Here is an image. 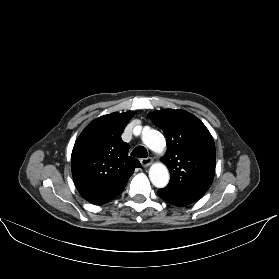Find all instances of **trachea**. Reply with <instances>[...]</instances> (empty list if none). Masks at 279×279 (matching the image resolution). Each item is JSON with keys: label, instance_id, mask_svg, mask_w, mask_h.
<instances>
[{"label": "trachea", "instance_id": "1", "mask_svg": "<svg viewBox=\"0 0 279 279\" xmlns=\"http://www.w3.org/2000/svg\"><path fill=\"white\" fill-rule=\"evenodd\" d=\"M131 155L137 158H147L148 153L145 147L138 146L132 151Z\"/></svg>", "mask_w": 279, "mask_h": 279}]
</instances>
